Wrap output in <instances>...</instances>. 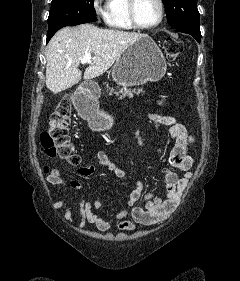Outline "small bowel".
Here are the masks:
<instances>
[{
  "label": "small bowel",
  "mask_w": 240,
  "mask_h": 281,
  "mask_svg": "<svg viewBox=\"0 0 240 281\" xmlns=\"http://www.w3.org/2000/svg\"><path fill=\"white\" fill-rule=\"evenodd\" d=\"M149 118L156 124L169 128V135L174 140V146L169 154V163L177 171L183 172L184 175L179 177L178 174L171 170L165 169L163 172L166 194L164 197H158L154 194L143 193V184L135 181L129 192L127 205L115 213L118 221L116 229L119 231H132L136 224L153 225L164 221L169 217L180 203L182 192L187 187L192 176L193 159L187 154V149L193 144L191 132L173 117L157 113L149 114ZM98 163L106 167L118 178L125 177V172L118 167L108 155L103 151L96 153ZM95 166L89 164L79 167L76 173L81 177H89L94 173ZM46 180L53 185H60L73 193H79L82 186L77 179L66 180L60 170L53 168L46 176ZM55 209H61L64 212V218L71 221L73 213L67 202L59 200L53 203ZM102 204L99 199L91 202L81 197L79 202L80 226L86 223L94 225L95 229L100 232H107L111 229V222L108 217L101 214Z\"/></svg>",
  "instance_id": "c3829d8e"
}]
</instances>
